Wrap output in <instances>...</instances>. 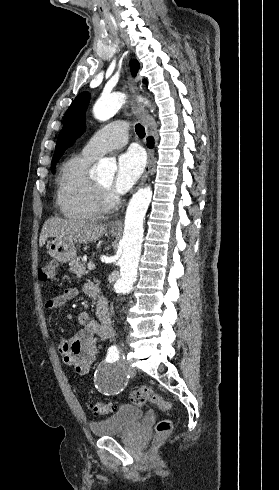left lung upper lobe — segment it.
<instances>
[{
  "label": "left lung upper lobe",
  "mask_w": 279,
  "mask_h": 490,
  "mask_svg": "<svg viewBox=\"0 0 279 490\" xmlns=\"http://www.w3.org/2000/svg\"><path fill=\"white\" fill-rule=\"evenodd\" d=\"M132 75H136L139 69L137 60L130 62ZM90 95L87 92L79 94L72 102L63 119V128L58 136L55 148V154L52 160V171L64 150L72 146L75 140L83 133L85 129V109L89 102Z\"/></svg>",
  "instance_id": "5c2ea615"
}]
</instances>
